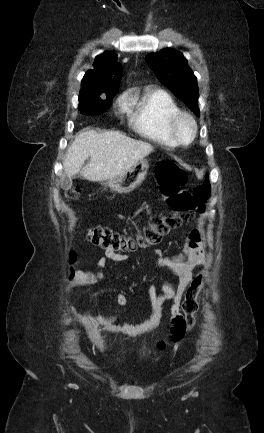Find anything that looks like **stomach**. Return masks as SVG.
<instances>
[{
	"mask_svg": "<svg viewBox=\"0 0 264 433\" xmlns=\"http://www.w3.org/2000/svg\"><path fill=\"white\" fill-rule=\"evenodd\" d=\"M149 168L147 160L142 159L126 173L102 183L104 188H110L117 193H129L137 188L145 179Z\"/></svg>",
	"mask_w": 264,
	"mask_h": 433,
	"instance_id": "0dacf381",
	"label": "stomach"
}]
</instances>
